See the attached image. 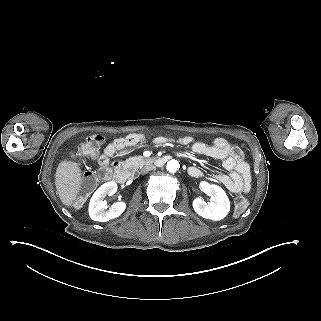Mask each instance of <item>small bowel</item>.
Masks as SVG:
<instances>
[{
  "label": "small bowel",
  "instance_id": "c3829d8e",
  "mask_svg": "<svg viewBox=\"0 0 321 321\" xmlns=\"http://www.w3.org/2000/svg\"><path fill=\"white\" fill-rule=\"evenodd\" d=\"M145 139L143 134L132 133L125 137L117 138L108 144L101 157L100 172L103 176H108L110 170L107 162L117 151L126 147L134 146ZM172 139L165 136H158L153 142L158 145L166 144ZM178 143L190 146L191 150L199 155H204L222 162L223 167L229 174H217L215 178L228 190L234 193L248 192L251 187V171L249 164L244 160L243 153L237 146L231 145L223 138H216L211 144L194 141L192 137L184 136L177 140ZM189 173L193 177H201L203 172L198 167L189 168Z\"/></svg>",
  "mask_w": 321,
  "mask_h": 321
}]
</instances>
